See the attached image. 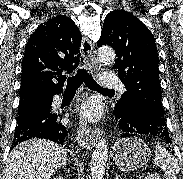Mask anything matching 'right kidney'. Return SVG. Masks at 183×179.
I'll return each mask as SVG.
<instances>
[{
	"label": "right kidney",
	"mask_w": 183,
	"mask_h": 179,
	"mask_svg": "<svg viewBox=\"0 0 183 179\" xmlns=\"http://www.w3.org/2000/svg\"><path fill=\"white\" fill-rule=\"evenodd\" d=\"M54 179H63L62 177H57V178H54Z\"/></svg>",
	"instance_id": "ca27d5eb"
}]
</instances>
